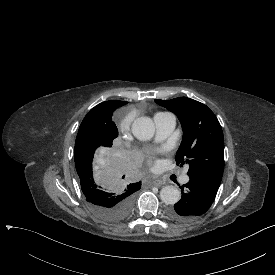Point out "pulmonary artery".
Masks as SVG:
<instances>
[{
	"label": "pulmonary artery",
	"mask_w": 275,
	"mask_h": 275,
	"mask_svg": "<svg viewBox=\"0 0 275 275\" xmlns=\"http://www.w3.org/2000/svg\"><path fill=\"white\" fill-rule=\"evenodd\" d=\"M156 125L157 135L156 140L160 141L166 138L174 130L176 125V118L172 113H157L153 117ZM189 181V176L184 174L181 177V183L186 184Z\"/></svg>",
	"instance_id": "pulmonary-artery-1"
}]
</instances>
